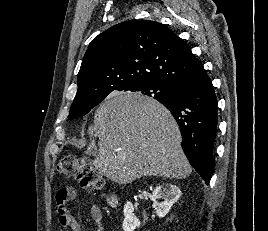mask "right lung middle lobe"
<instances>
[{
	"mask_svg": "<svg viewBox=\"0 0 268 231\" xmlns=\"http://www.w3.org/2000/svg\"><path fill=\"white\" fill-rule=\"evenodd\" d=\"M124 91L139 92L144 95L152 96L155 99H163L171 94V88L158 83H147L139 86L128 88ZM103 101V100H101ZM101 101L89 104L79 105L72 104L68 119L72 120L87 114L93 107L99 104Z\"/></svg>",
	"mask_w": 268,
	"mask_h": 231,
	"instance_id": "dd1d6c3e",
	"label": "right lung middle lobe"
}]
</instances>
